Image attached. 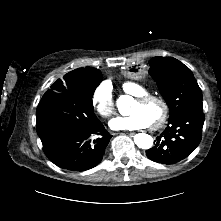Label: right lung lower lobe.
Listing matches in <instances>:
<instances>
[{"label": "right lung lower lobe", "mask_w": 221, "mask_h": 221, "mask_svg": "<svg viewBox=\"0 0 221 221\" xmlns=\"http://www.w3.org/2000/svg\"><path fill=\"white\" fill-rule=\"evenodd\" d=\"M111 137L98 121L89 129L76 131L43 146V150L51 162L63 169L86 171L100 163Z\"/></svg>", "instance_id": "right-lung-lower-lobe-1"}]
</instances>
